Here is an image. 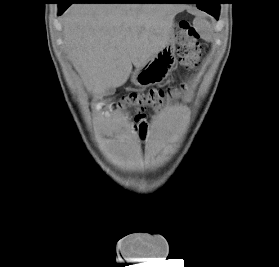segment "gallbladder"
<instances>
[{
	"label": "gallbladder",
	"instance_id": "obj_1",
	"mask_svg": "<svg viewBox=\"0 0 279 267\" xmlns=\"http://www.w3.org/2000/svg\"><path fill=\"white\" fill-rule=\"evenodd\" d=\"M113 91H114L113 88H109V89H107V90L105 91V93H106V94H110V93H112Z\"/></svg>",
	"mask_w": 279,
	"mask_h": 267
}]
</instances>
